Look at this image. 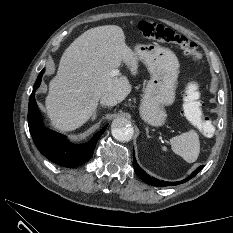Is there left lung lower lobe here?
<instances>
[{
    "mask_svg": "<svg viewBox=\"0 0 233 233\" xmlns=\"http://www.w3.org/2000/svg\"><path fill=\"white\" fill-rule=\"evenodd\" d=\"M134 153V151H133ZM203 168V166H200L199 168H197V170H195L188 178L184 179L181 182H160L158 179H155L153 177H150L148 174H146L137 164L135 158H134V169L136 174L146 183L153 185V186H167V185H178L180 183H184L188 180H190L191 178H193L199 171H201V169Z\"/></svg>",
    "mask_w": 233,
    "mask_h": 233,
    "instance_id": "left-lung-lower-lobe-1",
    "label": "left lung lower lobe"
}]
</instances>
